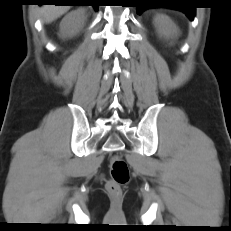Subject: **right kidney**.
Here are the masks:
<instances>
[{"instance_id":"obj_1","label":"right kidney","mask_w":231,"mask_h":231,"mask_svg":"<svg viewBox=\"0 0 231 231\" xmlns=\"http://www.w3.org/2000/svg\"><path fill=\"white\" fill-rule=\"evenodd\" d=\"M86 16L84 9H77L68 13L60 23V37H73L84 25Z\"/></svg>"}]
</instances>
